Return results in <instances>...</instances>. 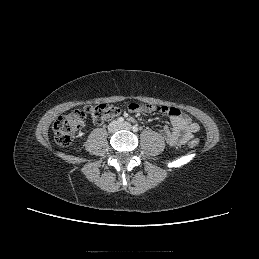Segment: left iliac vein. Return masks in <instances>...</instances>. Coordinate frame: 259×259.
I'll return each mask as SVG.
<instances>
[{
  "instance_id": "4c4485c4",
  "label": "left iliac vein",
  "mask_w": 259,
  "mask_h": 259,
  "mask_svg": "<svg viewBox=\"0 0 259 259\" xmlns=\"http://www.w3.org/2000/svg\"><path fill=\"white\" fill-rule=\"evenodd\" d=\"M120 128H121V129H126V130L132 129L131 124L128 123V122H124L123 124H121V125H120Z\"/></svg>"
}]
</instances>
